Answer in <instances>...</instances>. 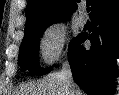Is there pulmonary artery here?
<instances>
[{
    "label": "pulmonary artery",
    "mask_w": 119,
    "mask_h": 95,
    "mask_svg": "<svg viewBox=\"0 0 119 95\" xmlns=\"http://www.w3.org/2000/svg\"><path fill=\"white\" fill-rule=\"evenodd\" d=\"M78 22L82 26L86 24L87 18H86L85 14L83 12L80 13V15L78 17Z\"/></svg>",
    "instance_id": "pulmonary-artery-1"
}]
</instances>
